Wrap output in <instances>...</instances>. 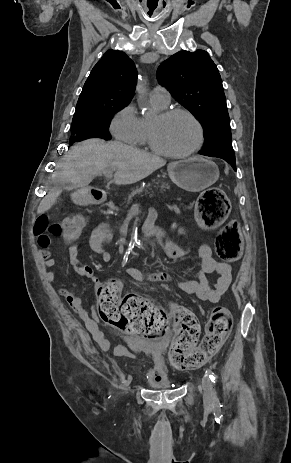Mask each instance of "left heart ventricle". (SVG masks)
Returning <instances> with one entry per match:
<instances>
[{
	"label": "left heart ventricle",
	"instance_id": "1",
	"mask_svg": "<svg viewBox=\"0 0 291 463\" xmlns=\"http://www.w3.org/2000/svg\"><path fill=\"white\" fill-rule=\"evenodd\" d=\"M155 128L157 142L172 152H184L193 147L198 140V130L194 122L184 115L168 119L161 115L151 121Z\"/></svg>",
	"mask_w": 291,
	"mask_h": 463
}]
</instances>
